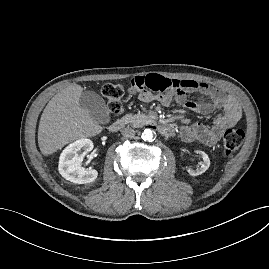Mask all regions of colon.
Segmentation results:
<instances>
[{
    "instance_id": "5ec220e1",
    "label": "colon",
    "mask_w": 269,
    "mask_h": 269,
    "mask_svg": "<svg viewBox=\"0 0 269 269\" xmlns=\"http://www.w3.org/2000/svg\"><path fill=\"white\" fill-rule=\"evenodd\" d=\"M102 94L106 98L108 109L112 114H117L122 109V100L125 88L121 84L108 83L102 87ZM244 140V131L241 129H228L223 136V145L226 156L235 153Z\"/></svg>"
}]
</instances>
